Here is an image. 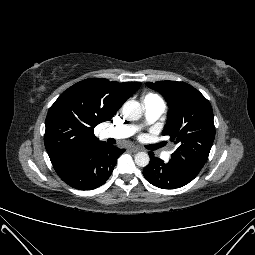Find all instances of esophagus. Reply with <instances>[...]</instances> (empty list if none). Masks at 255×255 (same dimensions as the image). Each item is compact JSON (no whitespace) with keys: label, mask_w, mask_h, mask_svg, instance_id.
Wrapping results in <instances>:
<instances>
[{"label":"esophagus","mask_w":255,"mask_h":255,"mask_svg":"<svg viewBox=\"0 0 255 255\" xmlns=\"http://www.w3.org/2000/svg\"><path fill=\"white\" fill-rule=\"evenodd\" d=\"M128 150L135 153L138 152L140 149L138 147H129Z\"/></svg>","instance_id":"obj_1"}]
</instances>
